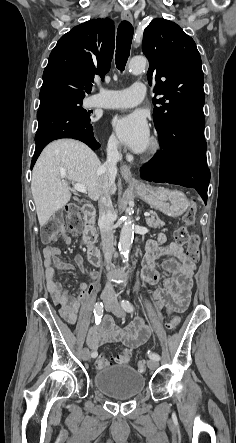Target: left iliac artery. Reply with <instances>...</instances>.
Wrapping results in <instances>:
<instances>
[{
    "label": "left iliac artery",
    "mask_w": 236,
    "mask_h": 443,
    "mask_svg": "<svg viewBox=\"0 0 236 443\" xmlns=\"http://www.w3.org/2000/svg\"><path fill=\"white\" fill-rule=\"evenodd\" d=\"M121 306L123 307V309L127 312H133L134 311V306L132 305V303L126 299L121 301ZM148 356L150 359L153 360H160V356L156 353H152L150 351H148Z\"/></svg>",
    "instance_id": "44dca946"
}]
</instances>
